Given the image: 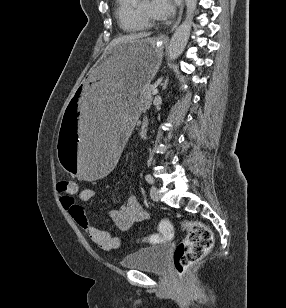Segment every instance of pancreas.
<instances>
[{"label": "pancreas", "instance_id": "1", "mask_svg": "<svg viewBox=\"0 0 286 308\" xmlns=\"http://www.w3.org/2000/svg\"><path fill=\"white\" fill-rule=\"evenodd\" d=\"M152 87L150 85H146L141 92V97L144 100V104L146 107H149L152 102Z\"/></svg>", "mask_w": 286, "mask_h": 308}]
</instances>
